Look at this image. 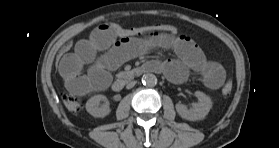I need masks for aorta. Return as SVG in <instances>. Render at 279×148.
<instances>
[{
	"label": "aorta",
	"instance_id": "762f6f07",
	"mask_svg": "<svg viewBox=\"0 0 279 148\" xmlns=\"http://www.w3.org/2000/svg\"><path fill=\"white\" fill-rule=\"evenodd\" d=\"M143 85L153 87L157 83V77L152 73H146L142 76Z\"/></svg>",
	"mask_w": 279,
	"mask_h": 148
}]
</instances>
